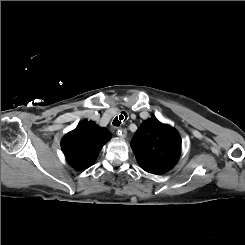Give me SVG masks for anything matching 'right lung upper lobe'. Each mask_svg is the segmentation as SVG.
I'll return each instance as SVG.
<instances>
[{
    "label": "right lung upper lobe",
    "mask_w": 245,
    "mask_h": 245,
    "mask_svg": "<svg viewBox=\"0 0 245 245\" xmlns=\"http://www.w3.org/2000/svg\"><path fill=\"white\" fill-rule=\"evenodd\" d=\"M110 138L107 129L91 121H82L63 137L61 148L69 164L76 170H83L95 162L99 151Z\"/></svg>",
    "instance_id": "1"
}]
</instances>
